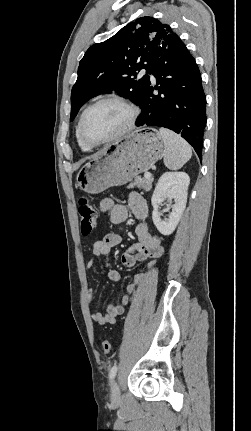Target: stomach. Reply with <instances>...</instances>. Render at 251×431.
I'll return each instance as SVG.
<instances>
[{
    "label": "stomach",
    "mask_w": 251,
    "mask_h": 431,
    "mask_svg": "<svg viewBox=\"0 0 251 431\" xmlns=\"http://www.w3.org/2000/svg\"><path fill=\"white\" fill-rule=\"evenodd\" d=\"M164 142L153 128L138 129L106 146L77 173L81 190L97 194L131 181L148 171L162 156Z\"/></svg>",
    "instance_id": "stomach-1"
}]
</instances>
